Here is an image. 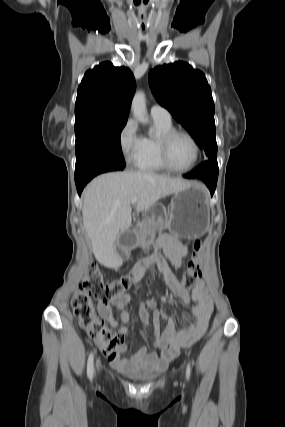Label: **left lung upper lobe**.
<instances>
[{
  "mask_svg": "<svg viewBox=\"0 0 285 427\" xmlns=\"http://www.w3.org/2000/svg\"><path fill=\"white\" fill-rule=\"evenodd\" d=\"M148 79L156 100L187 129L208 159L216 158L214 102L205 75L178 61L154 68Z\"/></svg>",
  "mask_w": 285,
  "mask_h": 427,
  "instance_id": "obj_1",
  "label": "left lung upper lobe"
}]
</instances>
